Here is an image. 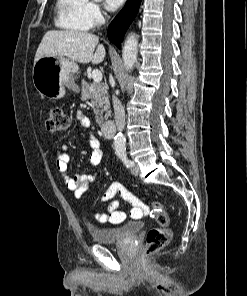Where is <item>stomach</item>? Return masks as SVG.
<instances>
[{"mask_svg": "<svg viewBox=\"0 0 247 296\" xmlns=\"http://www.w3.org/2000/svg\"><path fill=\"white\" fill-rule=\"evenodd\" d=\"M78 69L75 61L64 57H42L32 69L34 87L45 97L60 99L65 95V87L78 90L73 78Z\"/></svg>", "mask_w": 247, "mask_h": 296, "instance_id": "1", "label": "stomach"}]
</instances>
